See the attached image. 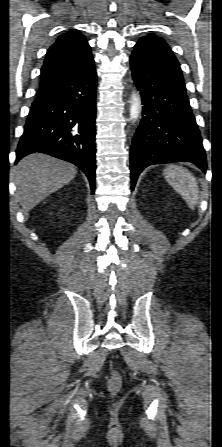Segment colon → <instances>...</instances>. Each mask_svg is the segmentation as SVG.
I'll return each mask as SVG.
<instances>
[{
  "label": "colon",
  "mask_w": 222,
  "mask_h": 447,
  "mask_svg": "<svg viewBox=\"0 0 222 447\" xmlns=\"http://www.w3.org/2000/svg\"><path fill=\"white\" fill-rule=\"evenodd\" d=\"M122 383H123V379L122 376L119 372L114 371L112 372L109 380H108V390L111 393H117L120 388L122 387Z\"/></svg>",
  "instance_id": "5ec220e1"
}]
</instances>
